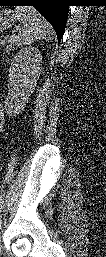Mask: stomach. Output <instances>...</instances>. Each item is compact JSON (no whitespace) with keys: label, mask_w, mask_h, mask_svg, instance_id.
Masks as SVG:
<instances>
[{"label":"stomach","mask_w":106,"mask_h":257,"mask_svg":"<svg viewBox=\"0 0 106 257\" xmlns=\"http://www.w3.org/2000/svg\"><path fill=\"white\" fill-rule=\"evenodd\" d=\"M16 21V14L10 9H2L0 14L1 31L9 29Z\"/></svg>","instance_id":"stomach-1"}]
</instances>
